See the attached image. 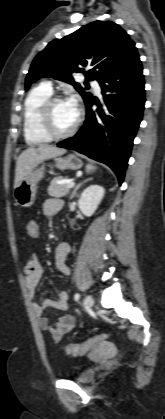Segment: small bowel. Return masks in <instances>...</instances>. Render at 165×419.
I'll use <instances>...</instances> for the list:
<instances>
[{
  "mask_svg": "<svg viewBox=\"0 0 165 419\" xmlns=\"http://www.w3.org/2000/svg\"><path fill=\"white\" fill-rule=\"evenodd\" d=\"M63 207V203L59 199L50 198L43 203V212L47 216L57 215ZM32 223V222H31ZM36 233L31 234L28 226L27 232L31 238L39 236V227L36 222ZM71 247L68 243H60L55 249V267L59 274L63 276L70 275V268L67 259L70 256ZM43 268L36 254H33L27 261L25 267V284L28 294L33 301L34 312L38 318V323L43 331L50 333L54 342H60L66 334L71 332L77 323L76 315H62L52 321L45 315V310L52 308L58 311H66L68 309L69 295L66 291H60L56 299H45L42 302L35 300L37 286L41 277Z\"/></svg>",
  "mask_w": 165,
  "mask_h": 419,
  "instance_id": "c3829d8e",
  "label": "small bowel"
}]
</instances>
